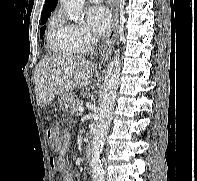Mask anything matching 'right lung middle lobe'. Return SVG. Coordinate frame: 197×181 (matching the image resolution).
Returning <instances> with one entry per match:
<instances>
[{"label": "right lung middle lobe", "instance_id": "obj_1", "mask_svg": "<svg viewBox=\"0 0 197 181\" xmlns=\"http://www.w3.org/2000/svg\"><path fill=\"white\" fill-rule=\"evenodd\" d=\"M50 15H51V14L41 16V25H43V24H45V23L47 22V19H48V17H49ZM44 33H45V27H42V28L40 29V38L43 37Z\"/></svg>", "mask_w": 197, "mask_h": 181}]
</instances>
